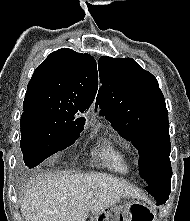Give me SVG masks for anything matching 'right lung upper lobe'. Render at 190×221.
Here are the masks:
<instances>
[{"instance_id":"cb5924a9","label":"right lung upper lobe","mask_w":190,"mask_h":221,"mask_svg":"<svg viewBox=\"0 0 190 221\" xmlns=\"http://www.w3.org/2000/svg\"><path fill=\"white\" fill-rule=\"evenodd\" d=\"M97 88L95 59L68 48L59 49L34 71L25 94L23 113H83L92 104Z\"/></svg>"}]
</instances>
